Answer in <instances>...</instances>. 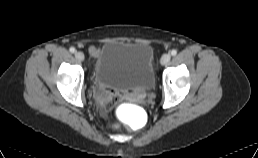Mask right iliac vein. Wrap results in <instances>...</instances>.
<instances>
[{"mask_svg": "<svg viewBox=\"0 0 258 158\" xmlns=\"http://www.w3.org/2000/svg\"><path fill=\"white\" fill-rule=\"evenodd\" d=\"M75 58L78 60V61H83L84 60V54H83V52H81V51H77V52H75Z\"/></svg>", "mask_w": 258, "mask_h": 158, "instance_id": "1", "label": "right iliac vein"}]
</instances>
